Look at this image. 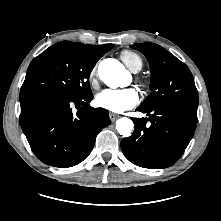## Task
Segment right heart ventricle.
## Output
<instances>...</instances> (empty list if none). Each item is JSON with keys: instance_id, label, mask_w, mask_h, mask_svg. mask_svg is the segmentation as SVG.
Listing matches in <instances>:
<instances>
[{"instance_id": "1", "label": "right heart ventricle", "mask_w": 221, "mask_h": 221, "mask_svg": "<svg viewBox=\"0 0 221 221\" xmlns=\"http://www.w3.org/2000/svg\"><path fill=\"white\" fill-rule=\"evenodd\" d=\"M121 60L133 72L139 71L143 66V60L139 54L131 50H123L120 52Z\"/></svg>"}]
</instances>
